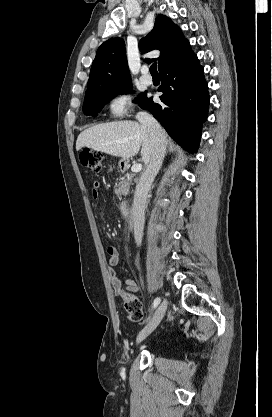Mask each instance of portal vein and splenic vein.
Masks as SVG:
<instances>
[{
    "label": "portal vein and splenic vein",
    "mask_w": 272,
    "mask_h": 417,
    "mask_svg": "<svg viewBox=\"0 0 272 417\" xmlns=\"http://www.w3.org/2000/svg\"><path fill=\"white\" fill-rule=\"evenodd\" d=\"M141 170H142V164H140V163L134 164V165L131 167V171H132V172H134V173H138V172H140Z\"/></svg>",
    "instance_id": "18ae733b"
}]
</instances>
